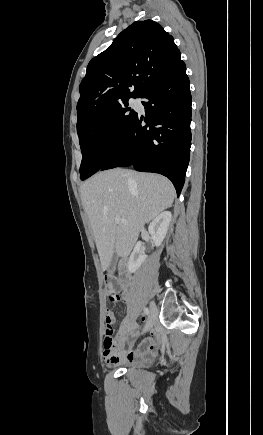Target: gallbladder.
<instances>
[{"label": "gallbladder", "mask_w": 263, "mask_h": 435, "mask_svg": "<svg viewBox=\"0 0 263 435\" xmlns=\"http://www.w3.org/2000/svg\"><path fill=\"white\" fill-rule=\"evenodd\" d=\"M117 262H118L117 255L114 254V256H113V258H112V260H111V263H110V265H109V268H108V272H109V273H113V272L116 270Z\"/></svg>", "instance_id": "1"}]
</instances>
